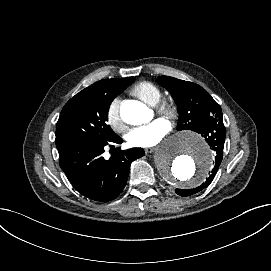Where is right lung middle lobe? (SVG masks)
<instances>
[{
	"instance_id": "right-lung-middle-lobe-1",
	"label": "right lung middle lobe",
	"mask_w": 271,
	"mask_h": 271,
	"mask_svg": "<svg viewBox=\"0 0 271 271\" xmlns=\"http://www.w3.org/2000/svg\"><path fill=\"white\" fill-rule=\"evenodd\" d=\"M135 77L104 79L71 98L63 107L56 125V147L79 139L107 140L116 134L108 120L114 98L128 87Z\"/></svg>"
}]
</instances>
